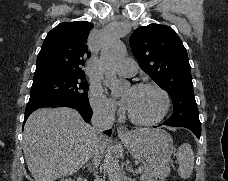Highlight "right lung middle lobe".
I'll use <instances>...</instances> for the list:
<instances>
[{
	"instance_id": "1",
	"label": "right lung middle lobe",
	"mask_w": 228,
	"mask_h": 181,
	"mask_svg": "<svg viewBox=\"0 0 228 181\" xmlns=\"http://www.w3.org/2000/svg\"><path fill=\"white\" fill-rule=\"evenodd\" d=\"M85 76L53 74L33 78L29 102L60 100L89 107Z\"/></svg>"
}]
</instances>
